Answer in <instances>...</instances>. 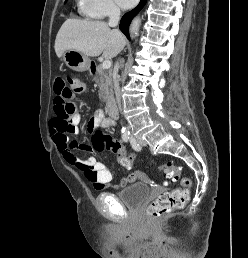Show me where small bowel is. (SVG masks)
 I'll return each instance as SVG.
<instances>
[{"mask_svg": "<svg viewBox=\"0 0 248 258\" xmlns=\"http://www.w3.org/2000/svg\"><path fill=\"white\" fill-rule=\"evenodd\" d=\"M53 88L55 93L54 110L56 115V111L59 107L60 102L63 100L69 102L70 92L65 87L64 80L62 78H56L54 80ZM52 119L50 122L51 138L56 144L59 153L62 155L63 159L68 164L77 167L85 174V176H86V171L91 170L94 173V176H91L90 178L87 177V179L93 182L94 186L97 189L123 188L128 184L134 182L138 178V173L133 172L121 178L118 184L113 185L111 181L113 179L114 174L106 166L105 163L97 161L93 156H88L85 159H81L77 157V155L74 152L75 149L87 150L86 145L79 144L78 142L71 140L69 137V133H76L78 131V126L81 120L80 115L78 113H75L72 115L71 117L72 129L69 132H65L63 130L58 129L56 126H54L52 124ZM109 124H110L109 121H107L104 117L103 111L98 110L95 116L89 120L87 124V129L89 133H92L98 127L105 128Z\"/></svg>", "mask_w": 248, "mask_h": 258, "instance_id": "small-bowel-1", "label": "small bowel"}]
</instances>
